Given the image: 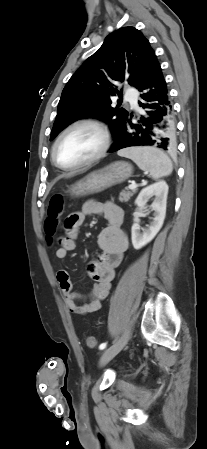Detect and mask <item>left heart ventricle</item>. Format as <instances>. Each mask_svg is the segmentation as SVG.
Masks as SVG:
<instances>
[{
  "label": "left heart ventricle",
  "mask_w": 207,
  "mask_h": 449,
  "mask_svg": "<svg viewBox=\"0 0 207 449\" xmlns=\"http://www.w3.org/2000/svg\"><path fill=\"white\" fill-rule=\"evenodd\" d=\"M101 146V137L89 127L68 132L59 142L56 156L60 164L68 166L92 157Z\"/></svg>",
  "instance_id": "left-heart-ventricle-1"
}]
</instances>
